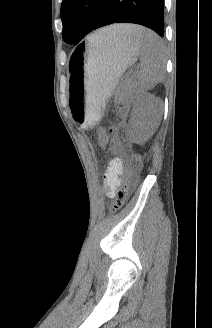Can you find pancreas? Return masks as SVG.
Masks as SVG:
<instances>
[{"mask_svg":"<svg viewBox=\"0 0 212 328\" xmlns=\"http://www.w3.org/2000/svg\"><path fill=\"white\" fill-rule=\"evenodd\" d=\"M126 84H127V88L129 90L133 89V86L131 85V82L130 81H127Z\"/></svg>","mask_w":212,"mask_h":328,"instance_id":"1","label":"pancreas"}]
</instances>
